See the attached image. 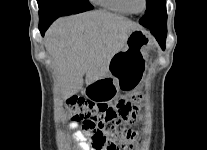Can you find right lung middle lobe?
I'll list each match as a JSON object with an SVG mask.
<instances>
[{"label":"right lung middle lobe","mask_w":207,"mask_h":150,"mask_svg":"<svg viewBox=\"0 0 207 150\" xmlns=\"http://www.w3.org/2000/svg\"><path fill=\"white\" fill-rule=\"evenodd\" d=\"M40 21L77 14L91 10L93 6L87 0H37Z\"/></svg>","instance_id":"dd1d6c3e"}]
</instances>
